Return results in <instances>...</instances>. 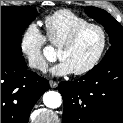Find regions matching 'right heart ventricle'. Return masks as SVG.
Wrapping results in <instances>:
<instances>
[{
  "instance_id": "e07e8e85",
  "label": "right heart ventricle",
  "mask_w": 123,
  "mask_h": 123,
  "mask_svg": "<svg viewBox=\"0 0 123 123\" xmlns=\"http://www.w3.org/2000/svg\"><path fill=\"white\" fill-rule=\"evenodd\" d=\"M42 23L48 41L59 47L76 29L90 22L70 10L61 9L46 16Z\"/></svg>"
}]
</instances>
